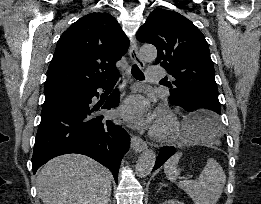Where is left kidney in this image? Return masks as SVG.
I'll return each mask as SVG.
<instances>
[{
  "instance_id": "left-kidney-1",
  "label": "left kidney",
  "mask_w": 261,
  "mask_h": 204,
  "mask_svg": "<svg viewBox=\"0 0 261 204\" xmlns=\"http://www.w3.org/2000/svg\"><path fill=\"white\" fill-rule=\"evenodd\" d=\"M161 204H184L183 202H180V201H177V200H174V199H171V200H168V201H165Z\"/></svg>"
}]
</instances>
